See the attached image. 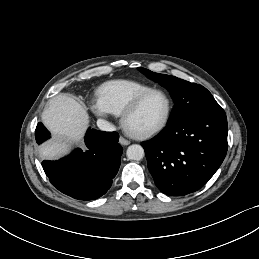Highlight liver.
Wrapping results in <instances>:
<instances>
[{"label": "liver", "instance_id": "1", "mask_svg": "<svg viewBox=\"0 0 259 259\" xmlns=\"http://www.w3.org/2000/svg\"><path fill=\"white\" fill-rule=\"evenodd\" d=\"M44 125L54 134L41 147L44 158L55 159L69 153L71 145L83 142V136L89 124L86 109L65 94H59L49 101V106L42 113Z\"/></svg>", "mask_w": 259, "mask_h": 259}]
</instances>
